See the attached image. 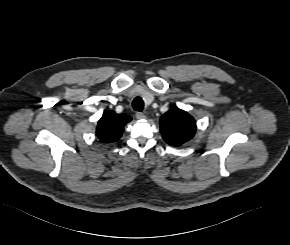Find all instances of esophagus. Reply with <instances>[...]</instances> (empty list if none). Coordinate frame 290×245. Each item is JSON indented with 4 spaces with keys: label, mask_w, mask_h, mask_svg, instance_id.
Returning a JSON list of instances; mask_svg holds the SVG:
<instances>
[{
    "label": "esophagus",
    "mask_w": 290,
    "mask_h": 245,
    "mask_svg": "<svg viewBox=\"0 0 290 245\" xmlns=\"http://www.w3.org/2000/svg\"><path fill=\"white\" fill-rule=\"evenodd\" d=\"M135 116H136L137 119H140V120L146 118L145 114L142 113V112H136Z\"/></svg>",
    "instance_id": "esophagus-1"
}]
</instances>
